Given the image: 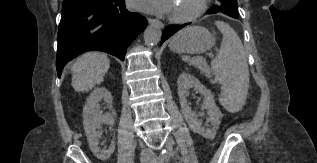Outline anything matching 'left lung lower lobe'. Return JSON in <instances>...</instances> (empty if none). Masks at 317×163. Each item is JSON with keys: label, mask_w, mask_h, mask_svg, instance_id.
Here are the masks:
<instances>
[{"label": "left lung lower lobe", "mask_w": 317, "mask_h": 163, "mask_svg": "<svg viewBox=\"0 0 317 163\" xmlns=\"http://www.w3.org/2000/svg\"><path fill=\"white\" fill-rule=\"evenodd\" d=\"M209 14H211L210 12H208ZM233 18H237V17H233ZM190 23L184 24V25H176V26H169L166 27L163 35H162V40L161 43L164 42L166 39H168L169 37H171L175 32H177L178 30H180L181 28L187 26Z\"/></svg>", "instance_id": "1"}]
</instances>
